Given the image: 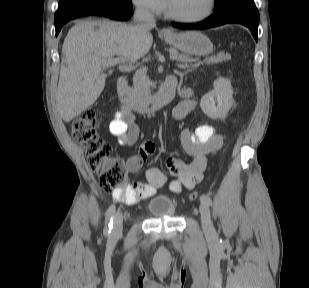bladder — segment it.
Returning <instances> with one entry per match:
<instances>
[{
	"mask_svg": "<svg viewBox=\"0 0 309 288\" xmlns=\"http://www.w3.org/2000/svg\"><path fill=\"white\" fill-rule=\"evenodd\" d=\"M146 210L150 218H172L176 213V201L165 194H154L149 197Z\"/></svg>",
	"mask_w": 309,
	"mask_h": 288,
	"instance_id": "1",
	"label": "bladder"
}]
</instances>
